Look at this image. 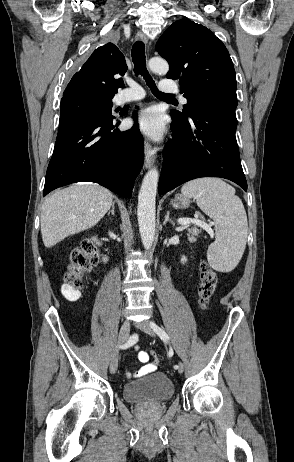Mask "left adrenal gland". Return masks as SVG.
I'll return each instance as SVG.
<instances>
[{"label":"left adrenal gland","instance_id":"a2214340","mask_svg":"<svg viewBox=\"0 0 294 462\" xmlns=\"http://www.w3.org/2000/svg\"><path fill=\"white\" fill-rule=\"evenodd\" d=\"M169 215H170V212L167 211V214H166V216H165L163 225H165L167 222H169V223L172 224V226H174V221L169 217Z\"/></svg>","mask_w":294,"mask_h":462}]
</instances>
